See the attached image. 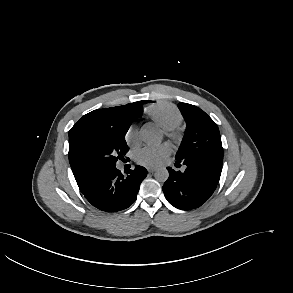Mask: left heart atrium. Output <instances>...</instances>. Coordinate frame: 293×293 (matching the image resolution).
I'll return each instance as SVG.
<instances>
[{"label": "left heart atrium", "mask_w": 293, "mask_h": 293, "mask_svg": "<svg viewBox=\"0 0 293 293\" xmlns=\"http://www.w3.org/2000/svg\"><path fill=\"white\" fill-rule=\"evenodd\" d=\"M171 153V148L167 144L159 146H146L136 154V160L146 166H157L162 163Z\"/></svg>", "instance_id": "1"}]
</instances>
